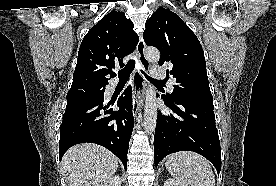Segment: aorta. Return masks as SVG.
Returning <instances> with one entry per match:
<instances>
[{
    "label": "aorta",
    "instance_id": "obj_1",
    "mask_svg": "<svg viewBox=\"0 0 276 186\" xmlns=\"http://www.w3.org/2000/svg\"><path fill=\"white\" fill-rule=\"evenodd\" d=\"M146 59L149 62L157 63L160 59V52L156 48H147L145 51ZM157 124V103L156 93L154 87L149 85L145 95V107H144V130L147 133H152Z\"/></svg>",
    "mask_w": 276,
    "mask_h": 186
}]
</instances>
